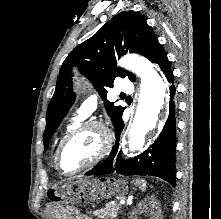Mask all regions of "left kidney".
<instances>
[{
    "mask_svg": "<svg viewBox=\"0 0 221 219\" xmlns=\"http://www.w3.org/2000/svg\"><path fill=\"white\" fill-rule=\"evenodd\" d=\"M143 213H147L149 219H161L160 205L154 196L147 197L140 202L132 212L131 219H138V215Z\"/></svg>",
    "mask_w": 221,
    "mask_h": 219,
    "instance_id": "left-kidney-1",
    "label": "left kidney"
}]
</instances>
